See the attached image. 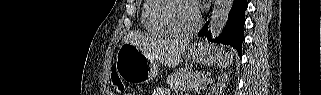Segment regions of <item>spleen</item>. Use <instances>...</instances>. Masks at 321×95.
<instances>
[{
    "label": "spleen",
    "instance_id": "3e777b00",
    "mask_svg": "<svg viewBox=\"0 0 321 95\" xmlns=\"http://www.w3.org/2000/svg\"><path fill=\"white\" fill-rule=\"evenodd\" d=\"M233 62V54L231 52H227L224 55L219 57L218 65L220 67H227Z\"/></svg>",
    "mask_w": 321,
    "mask_h": 95
}]
</instances>
